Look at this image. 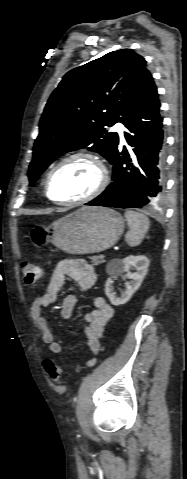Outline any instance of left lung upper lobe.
Segmentation results:
<instances>
[{"mask_svg":"<svg viewBox=\"0 0 187 479\" xmlns=\"http://www.w3.org/2000/svg\"><path fill=\"white\" fill-rule=\"evenodd\" d=\"M148 75L146 61L131 49L110 52L65 74L40 120L30 185L57 157L80 148L89 147L111 163L119 136L106 128L124 123Z\"/></svg>","mask_w":187,"mask_h":479,"instance_id":"obj_1","label":"left lung upper lobe"}]
</instances>
